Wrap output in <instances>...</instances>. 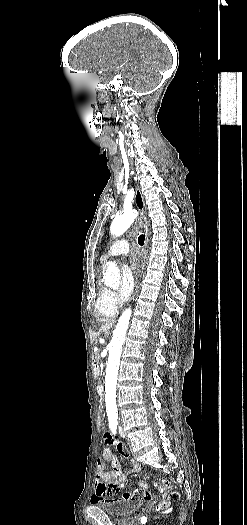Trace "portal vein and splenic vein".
<instances>
[{"label":"portal vein and splenic vein","instance_id":"18ae733b","mask_svg":"<svg viewBox=\"0 0 247 525\" xmlns=\"http://www.w3.org/2000/svg\"><path fill=\"white\" fill-rule=\"evenodd\" d=\"M101 370H104V363H100Z\"/></svg>","mask_w":247,"mask_h":525}]
</instances>
